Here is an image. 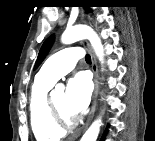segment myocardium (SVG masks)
Returning a JSON list of instances; mask_svg holds the SVG:
<instances>
[{"label":"myocardium","instance_id":"f54148a6","mask_svg":"<svg viewBox=\"0 0 155 141\" xmlns=\"http://www.w3.org/2000/svg\"><path fill=\"white\" fill-rule=\"evenodd\" d=\"M47 109H48V116L53 125L61 131L72 129L77 124V119L73 116L66 117L64 116L55 106L52 94L47 96Z\"/></svg>","mask_w":155,"mask_h":141}]
</instances>
